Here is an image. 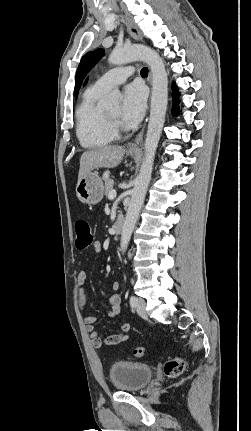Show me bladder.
I'll return each mask as SVG.
<instances>
[{"instance_id": "obj_1", "label": "bladder", "mask_w": 251, "mask_h": 431, "mask_svg": "<svg viewBox=\"0 0 251 431\" xmlns=\"http://www.w3.org/2000/svg\"><path fill=\"white\" fill-rule=\"evenodd\" d=\"M109 377L117 390L138 391L151 381L153 370L144 363L118 361L111 365Z\"/></svg>"}]
</instances>
